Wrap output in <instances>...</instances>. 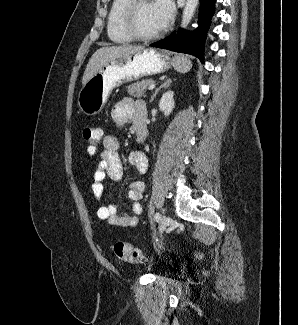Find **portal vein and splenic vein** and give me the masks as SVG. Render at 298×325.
I'll return each instance as SVG.
<instances>
[{
  "instance_id": "1",
  "label": "portal vein and splenic vein",
  "mask_w": 298,
  "mask_h": 325,
  "mask_svg": "<svg viewBox=\"0 0 298 325\" xmlns=\"http://www.w3.org/2000/svg\"><path fill=\"white\" fill-rule=\"evenodd\" d=\"M156 84H149L148 90H152V88H155Z\"/></svg>"
}]
</instances>
